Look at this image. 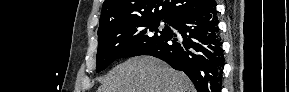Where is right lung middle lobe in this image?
<instances>
[{"instance_id":"obj_1","label":"right lung middle lobe","mask_w":289,"mask_h":92,"mask_svg":"<svg viewBox=\"0 0 289 92\" xmlns=\"http://www.w3.org/2000/svg\"><path fill=\"white\" fill-rule=\"evenodd\" d=\"M160 21L157 18L122 21L99 31L96 72L104 70L116 59L136 56L166 38L171 30L169 26L159 29ZM164 22L170 24L171 21Z\"/></svg>"}]
</instances>
